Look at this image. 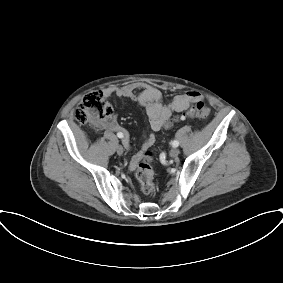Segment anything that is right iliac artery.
<instances>
[{"instance_id": "right-iliac-artery-1", "label": "right iliac artery", "mask_w": 283, "mask_h": 283, "mask_svg": "<svg viewBox=\"0 0 283 283\" xmlns=\"http://www.w3.org/2000/svg\"><path fill=\"white\" fill-rule=\"evenodd\" d=\"M117 136H118L119 138H123V133L119 132V133H117Z\"/></svg>"}]
</instances>
